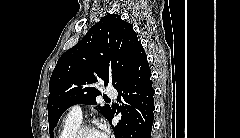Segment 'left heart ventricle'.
<instances>
[{
  "mask_svg": "<svg viewBox=\"0 0 240 138\" xmlns=\"http://www.w3.org/2000/svg\"><path fill=\"white\" fill-rule=\"evenodd\" d=\"M81 138H100L99 133L97 130H88L84 132L81 136Z\"/></svg>",
  "mask_w": 240,
  "mask_h": 138,
  "instance_id": "b2bd125f",
  "label": "left heart ventricle"
}]
</instances>
